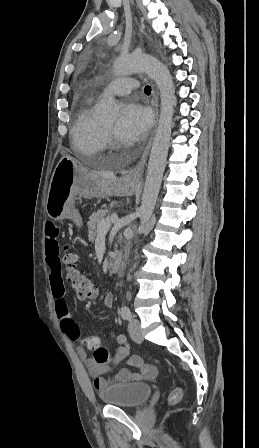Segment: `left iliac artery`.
Segmentation results:
<instances>
[{
    "mask_svg": "<svg viewBox=\"0 0 259 448\" xmlns=\"http://www.w3.org/2000/svg\"><path fill=\"white\" fill-rule=\"evenodd\" d=\"M121 317L125 320H130L132 318L131 311L126 305L121 307Z\"/></svg>",
    "mask_w": 259,
    "mask_h": 448,
    "instance_id": "44dca946",
    "label": "left iliac artery"
}]
</instances>
